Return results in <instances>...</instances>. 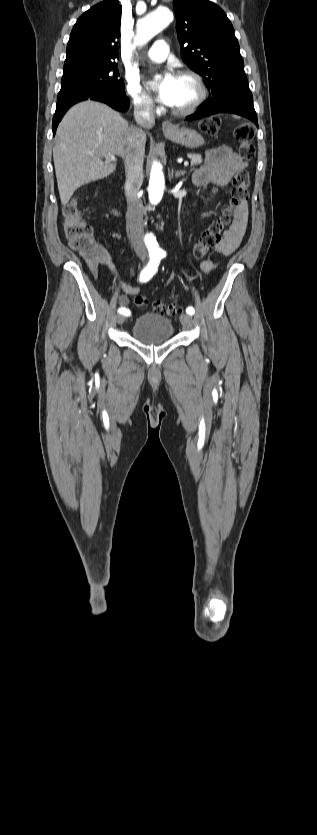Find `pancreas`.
Segmentation results:
<instances>
[{
    "instance_id": "cf45deb5",
    "label": "pancreas",
    "mask_w": 317,
    "mask_h": 835,
    "mask_svg": "<svg viewBox=\"0 0 317 835\" xmlns=\"http://www.w3.org/2000/svg\"><path fill=\"white\" fill-rule=\"evenodd\" d=\"M188 158L192 161L194 165H199L202 163V157L200 154H188Z\"/></svg>"
}]
</instances>
